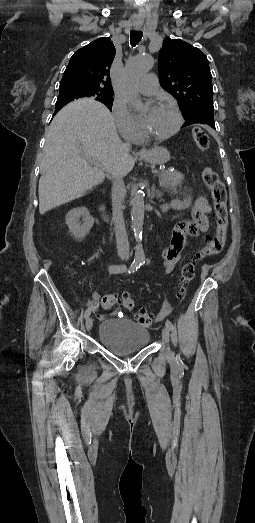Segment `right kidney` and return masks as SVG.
<instances>
[{
	"instance_id": "right-kidney-1",
	"label": "right kidney",
	"mask_w": 255,
	"mask_h": 523,
	"mask_svg": "<svg viewBox=\"0 0 255 523\" xmlns=\"http://www.w3.org/2000/svg\"><path fill=\"white\" fill-rule=\"evenodd\" d=\"M83 218V224H79V218ZM66 224L75 240H83L90 232L94 220L91 218L87 208H73L66 216Z\"/></svg>"
}]
</instances>
